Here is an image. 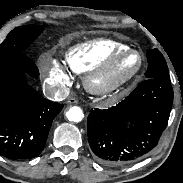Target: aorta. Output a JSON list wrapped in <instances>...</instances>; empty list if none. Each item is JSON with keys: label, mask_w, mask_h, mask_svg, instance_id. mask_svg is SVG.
<instances>
[{"label": "aorta", "mask_w": 183, "mask_h": 183, "mask_svg": "<svg viewBox=\"0 0 183 183\" xmlns=\"http://www.w3.org/2000/svg\"><path fill=\"white\" fill-rule=\"evenodd\" d=\"M66 117L69 121L80 122L83 119L84 115L80 107L73 106L66 112Z\"/></svg>", "instance_id": "1"}]
</instances>
